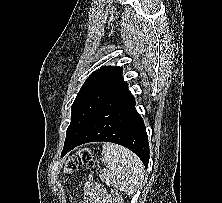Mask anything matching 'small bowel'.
Listing matches in <instances>:
<instances>
[{
    "label": "small bowel",
    "instance_id": "small-bowel-1",
    "mask_svg": "<svg viewBox=\"0 0 222 203\" xmlns=\"http://www.w3.org/2000/svg\"><path fill=\"white\" fill-rule=\"evenodd\" d=\"M84 203H111L110 195L98 185H88Z\"/></svg>",
    "mask_w": 222,
    "mask_h": 203
}]
</instances>
